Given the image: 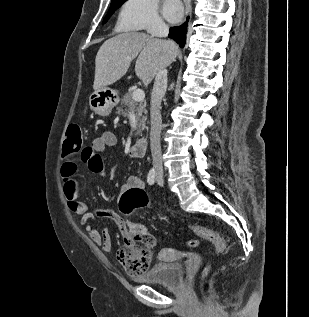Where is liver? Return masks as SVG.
Listing matches in <instances>:
<instances>
[{"mask_svg":"<svg viewBox=\"0 0 309 317\" xmlns=\"http://www.w3.org/2000/svg\"><path fill=\"white\" fill-rule=\"evenodd\" d=\"M177 52L174 42L153 38L146 33L118 34L106 40L97 52L93 88L98 90L121 79L136 57V76L148 86L160 68L175 60Z\"/></svg>","mask_w":309,"mask_h":317,"instance_id":"6515ba94","label":"liver"}]
</instances>
